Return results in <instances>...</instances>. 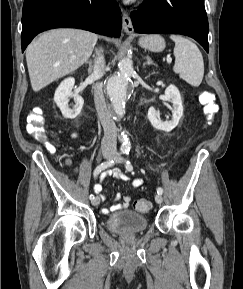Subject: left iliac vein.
Wrapping results in <instances>:
<instances>
[{
  "label": "left iliac vein",
  "mask_w": 243,
  "mask_h": 289,
  "mask_svg": "<svg viewBox=\"0 0 243 289\" xmlns=\"http://www.w3.org/2000/svg\"><path fill=\"white\" fill-rule=\"evenodd\" d=\"M124 159L122 157H120L118 159V162H123ZM155 201L158 203V204H161L163 202V197H162V194H157L155 195Z\"/></svg>",
  "instance_id": "left-iliac-vein-1"
}]
</instances>
